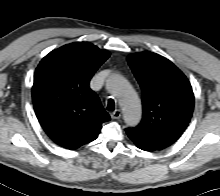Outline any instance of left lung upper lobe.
I'll return each instance as SVG.
<instances>
[{
	"label": "left lung upper lobe",
	"instance_id": "5c2ea615",
	"mask_svg": "<svg viewBox=\"0 0 220 196\" xmlns=\"http://www.w3.org/2000/svg\"><path fill=\"white\" fill-rule=\"evenodd\" d=\"M142 89L143 117L129 131L156 150L172 145L188 126L194 107L192 87L168 59L152 52L128 56Z\"/></svg>",
	"mask_w": 220,
	"mask_h": 196
}]
</instances>
